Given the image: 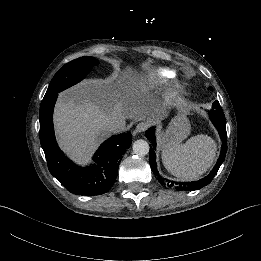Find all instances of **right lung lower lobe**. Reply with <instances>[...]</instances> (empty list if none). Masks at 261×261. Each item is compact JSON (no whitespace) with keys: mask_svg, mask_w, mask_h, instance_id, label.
<instances>
[{"mask_svg":"<svg viewBox=\"0 0 261 261\" xmlns=\"http://www.w3.org/2000/svg\"><path fill=\"white\" fill-rule=\"evenodd\" d=\"M58 94L43 99L40 106V142L50 173L71 193L95 196L107 193L113 186L119 163L130 147V132L113 135L93 156V163L85 167L69 160L59 149L53 128V108Z\"/></svg>","mask_w":261,"mask_h":261,"instance_id":"1","label":"right lung lower lobe"}]
</instances>
